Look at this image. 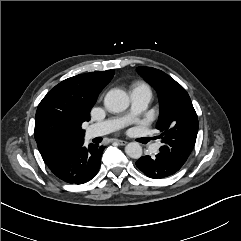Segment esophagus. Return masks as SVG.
Instances as JSON below:
<instances>
[{
	"instance_id": "esophagus-1",
	"label": "esophagus",
	"mask_w": 241,
	"mask_h": 241,
	"mask_svg": "<svg viewBox=\"0 0 241 241\" xmlns=\"http://www.w3.org/2000/svg\"><path fill=\"white\" fill-rule=\"evenodd\" d=\"M117 144L119 145H126L127 144V141H124V140H115Z\"/></svg>"
}]
</instances>
